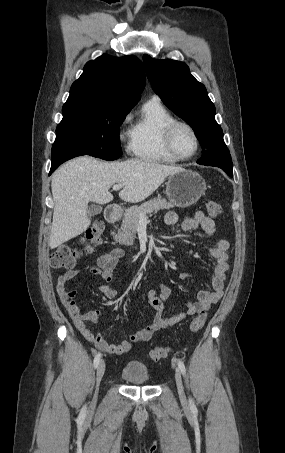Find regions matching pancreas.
<instances>
[{"label":"pancreas","mask_w":285,"mask_h":453,"mask_svg":"<svg viewBox=\"0 0 285 453\" xmlns=\"http://www.w3.org/2000/svg\"><path fill=\"white\" fill-rule=\"evenodd\" d=\"M172 207L173 204L171 202H167L165 198L158 197L144 202L140 206L127 209L123 216L121 228L115 235V240L122 245H133L141 215L147 217V215L156 213L161 209H170Z\"/></svg>","instance_id":"pancreas-1"}]
</instances>
